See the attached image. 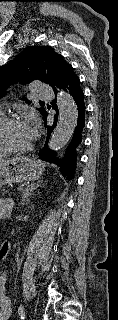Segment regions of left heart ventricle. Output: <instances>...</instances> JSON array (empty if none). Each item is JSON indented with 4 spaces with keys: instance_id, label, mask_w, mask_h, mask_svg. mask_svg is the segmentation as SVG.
Instances as JSON below:
<instances>
[{
    "instance_id": "1",
    "label": "left heart ventricle",
    "mask_w": 118,
    "mask_h": 320,
    "mask_svg": "<svg viewBox=\"0 0 118 320\" xmlns=\"http://www.w3.org/2000/svg\"><path fill=\"white\" fill-rule=\"evenodd\" d=\"M4 138L14 148H24L31 144L29 131L24 122L9 125L4 131Z\"/></svg>"
}]
</instances>
